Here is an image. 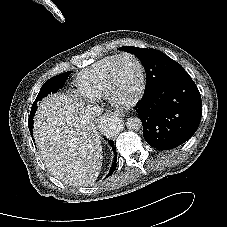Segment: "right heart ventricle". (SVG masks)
<instances>
[{
  "mask_svg": "<svg viewBox=\"0 0 227 227\" xmlns=\"http://www.w3.org/2000/svg\"><path fill=\"white\" fill-rule=\"evenodd\" d=\"M117 55H110L95 62L81 72L75 81L76 90L89 100H100L106 96V77L108 69Z\"/></svg>",
  "mask_w": 227,
  "mask_h": 227,
  "instance_id": "right-heart-ventricle-1",
  "label": "right heart ventricle"
}]
</instances>
